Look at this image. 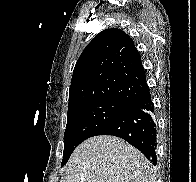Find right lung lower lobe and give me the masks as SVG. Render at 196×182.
<instances>
[{
    "instance_id": "1",
    "label": "right lung lower lobe",
    "mask_w": 196,
    "mask_h": 182,
    "mask_svg": "<svg viewBox=\"0 0 196 182\" xmlns=\"http://www.w3.org/2000/svg\"><path fill=\"white\" fill-rule=\"evenodd\" d=\"M97 135L124 139L156 165L157 128L149 87L127 111L102 126L93 136Z\"/></svg>"
}]
</instances>
